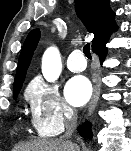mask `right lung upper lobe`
Returning a JSON list of instances; mask_svg holds the SVG:
<instances>
[{"label":"right lung upper lobe","instance_id":"right-lung-upper-lobe-1","mask_svg":"<svg viewBox=\"0 0 131 151\" xmlns=\"http://www.w3.org/2000/svg\"><path fill=\"white\" fill-rule=\"evenodd\" d=\"M75 9L87 30L94 34L92 49L106 41L111 32L117 29L114 23L115 13L110 9L108 0H75ZM39 38V29H34L28 34L24 42L18 61L14 90L22 87L26 70Z\"/></svg>","mask_w":131,"mask_h":151}]
</instances>
